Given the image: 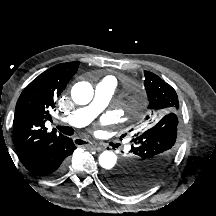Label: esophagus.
<instances>
[{
    "instance_id": "34e87169",
    "label": "esophagus",
    "mask_w": 216,
    "mask_h": 216,
    "mask_svg": "<svg viewBox=\"0 0 216 216\" xmlns=\"http://www.w3.org/2000/svg\"><path fill=\"white\" fill-rule=\"evenodd\" d=\"M74 143L78 146H95L97 150H102L104 147L100 146L94 142H91L89 140L81 139V138H74L73 139Z\"/></svg>"
}]
</instances>
